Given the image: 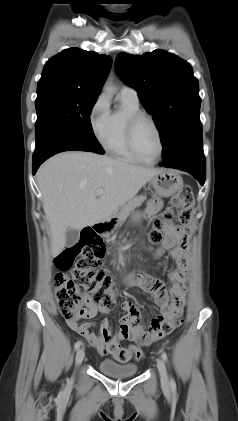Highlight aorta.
Returning <instances> with one entry per match:
<instances>
[{"label": "aorta", "instance_id": "762f6f07", "mask_svg": "<svg viewBox=\"0 0 238 421\" xmlns=\"http://www.w3.org/2000/svg\"><path fill=\"white\" fill-rule=\"evenodd\" d=\"M105 90L111 92V91L114 90V88H113L112 85L108 84V85L105 86Z\"/></svg>", "mask_w": 238, "mask_h": 421}]
</instances>
